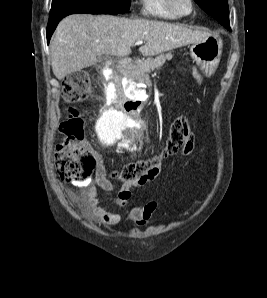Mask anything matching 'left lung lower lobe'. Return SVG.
<instances>
[{
  "label": "left lung lower lobe",
  "instance_id": "1",
  "mask_svg": "<svg viewBox=\"0 0 267 298\" xmlns=\"http://www.w3.org/2000/svg\"><path fill=\"white\" fill-rule=\"evenodd\" d=\"M222 24V23H221ZM224 27H226L228 30H230L231 31V28H230V26H229V23L228 24H226V23H224V24H222Z\"/></svg>",
  "mask_w": 267,
  "mask_h": 298
}]
</instances>
